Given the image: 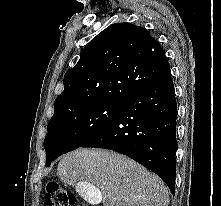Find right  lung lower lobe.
I'll use <instances>...</instances> for the list:
<instances>
[{
	"label": "right lung lower lobe",
	"mask_w": 221,
	"mask_h": 206,
	"mask_svg": "<svg viewBox=\"0 0 221 206\" xmlns=\"http://www.w3.org/2000/svg\"><path fill=\"white\" fill-rule=\"evenodd\" d=\"M177 103L171 71L138 90L118 115L81 147L120 152L147 167L175 193Z\"/></svg>",
	"instance_id": "right-lung-lower-lobe-1"
}]
</instances>
